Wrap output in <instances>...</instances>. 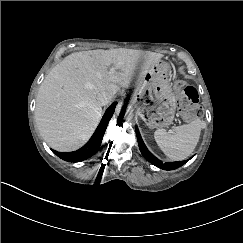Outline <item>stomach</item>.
<instances>
[{"label":"stomach","instance_id":"stomach-1","mask_svg":"<svg viewBox=\"0 0 243 243\" xmlns=\"http://www.w3.org/2000/svg\"><path fill=\"white\" fill-rule=\"evenodd\" d=\"M168 71L169 65L161 60L153 64L138 80L131 98L139 116L151 129L167 127L174 120L177 100Z\"/></svg>","mask_w":243,"mask_h":243}]
</instances>
